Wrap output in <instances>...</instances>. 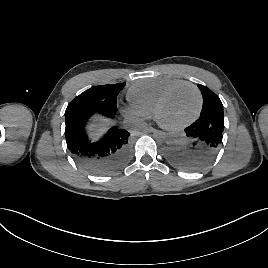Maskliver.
<instances>
[{"label": "liver", "mask_w": 268, "mask_h": 268, "mask_svg": "<svg viewBox=\"0 0 268 268\" xmlns=\"http://www.w3.org/2000/svg\"><path fill=\"white\" fill-rule=\"evenodd\" d=\"M96 127H98V128H99V130H102V128H100V126H96Z\"/></svg>", "instance_id": "obj_1"}]
</instances>
